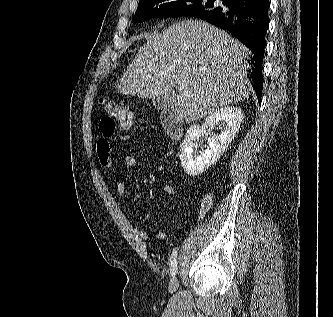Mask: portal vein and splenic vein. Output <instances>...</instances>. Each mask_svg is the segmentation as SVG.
Here are the masks:
<instances>
[{"instance_id": "obj_1", "label": "portal vein and splenic vein", "mask_w": 333, "mask_h": 317, "mask_svg": "<svg viewBox=\"0 0 333 317\" xmlns=\"http://www.w3.org/2000/svg\"><path fill=\"white\" fill-rule=\"evenodd\" d=\"M178 90H180V88H178ZM180 97L182 98V97H184L183 95H180Z\"/></svg>"}]
</instances>
